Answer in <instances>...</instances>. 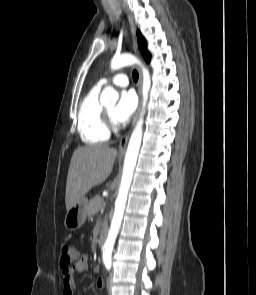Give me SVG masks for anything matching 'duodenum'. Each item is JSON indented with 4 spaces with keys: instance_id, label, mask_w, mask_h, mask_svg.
I'll return each instance as SVG.
<instances>
[{
    "instance_id": "1",
    "label": "duodenum",
    "mask_w": 256,
    "mask_h": 295,
    "mask_svg": "<svg viewBox=\"0 0 256 295\" xmlns=\"http://www.w3.org/2000/svg\"><path fill=\"white\" fill-rule=\"evenodd\" d=\"M105 240H106V229L103 228V229L100 231V234H99V237H98V247H99L100 249L103 248L104 243H105Z\"/></svg>"
}]
</instances>
